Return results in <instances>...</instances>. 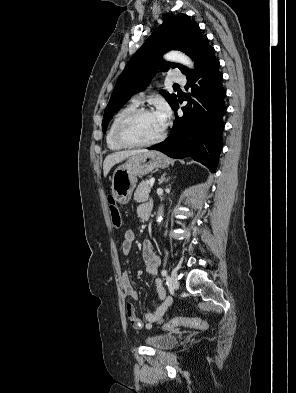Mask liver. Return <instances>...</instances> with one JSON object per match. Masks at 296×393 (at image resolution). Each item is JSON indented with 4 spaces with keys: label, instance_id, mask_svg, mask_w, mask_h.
<instances>
[{
    "label": "liver",
    "instance_id": "obj_1",
    "mask_svg": "<svg viewBox=\"0 0 296 393\" xmlns=\"http://www.w3.org/2000/svg\"><path fill=\"white\" fill-rule=\"evenodd\" d=\"M148 150L139 149V150H130V151H119L108 155L103 163V173L106 177L110 171V169L117 163L122 162L123 160L132 157L137 154L147 153Z\"/></svg>",
    "mask_w": 296,
    "mask_h": 393
}]
</instances>
